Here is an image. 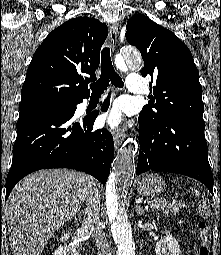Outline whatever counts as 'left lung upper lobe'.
Segmentation results:
<instances>
[{
	"label": "left lung upper lobe",
	"instance_id": "obj_1",
	"mask_svg": "<svg viewBox=\"0 0 221 255\" xmlns=\"http://www.w3.org/2000/svg\"><path fill=\"white\" fill-rule=\"evenodd\" d=\"M126 39L143 57L142 76H151L156 85L152 102L141 116L154 123L171 115H181L198 122L202 119L203 101L199 75L190 50L170 30L147 16L136 14L126 25Z\"/></svg>",
	"mask_w": 221,
	"mask_h": 255
}]
</instances>
